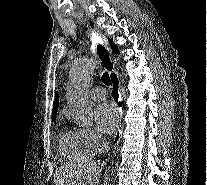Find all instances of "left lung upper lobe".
Masks as SVG:
<instances>
[{
  "label": "left lung upper lobe",
  "instance_id": "5c2ea615",
  "mask_svg": "<svg viewBox=\"0 0 207 185\" xmlns=\"http://www.w3.org/2000/svg\"><path fill=\"white\" fill-rule=\"evenodd\" d=\"M109 42H110L111 47L113 48L114 52H115L116 54H118L119 51H118V49H117V46L112 42V40H109Z\"/></svg>",
  "mask_w": 207,
  "mask_h": 185
}]
</instances>
